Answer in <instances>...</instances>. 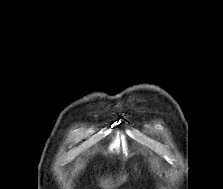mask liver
<instances>
[{
  "instance_id": "6515ba94",
  "label": "liver",
  "mask_w": 223,
  "mask_h": 189,
  "mask_svg": "<svg viewBox=\"0 0 223 189\" xmlns=\"http://www.w3.org/2000/svg\"><path fill=\"white\" fill-rule=\"evenodd\" d=\"M127 176L123 175L122 177H120L119 180H117L116 184H113L112 180L110 179H105V180H101V187H103L104 189H112L115 186H119L120 184H122L123 182L126 181Z\"/></svg>"
}]
</instances>
